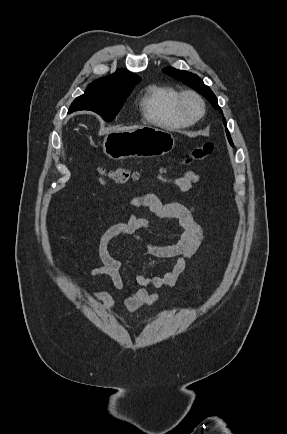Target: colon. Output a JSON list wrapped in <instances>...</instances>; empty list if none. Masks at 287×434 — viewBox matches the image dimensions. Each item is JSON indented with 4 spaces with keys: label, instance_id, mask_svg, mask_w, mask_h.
<instances>
[{
    "label": "colon",
    "instance_id": "5ec220e1",
    "mask_svg": "<svg viewBox=\"0 0 287 434\" xmlns=\"http://www.w3.org/2000/svg\"><path fill=\"white\" fill-rule=\"evenodd\" d=\"M213 151V146L211 143H203L196 146L191 151L190 157L194 161H202L206 159ZM189 160L188 162H190ZM100 180L104 182L106 180H113L119 184H128L136 181L140 178V173L128 167H117L114 169H107L100 167L98 169Z\"/></svg>",
    "mask_w": 287,
    "mask_h": 434
}]
</instances>
